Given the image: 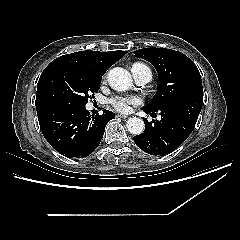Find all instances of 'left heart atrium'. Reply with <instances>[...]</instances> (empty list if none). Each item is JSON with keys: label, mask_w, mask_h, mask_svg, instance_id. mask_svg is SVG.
I'll return each mask as SVG.
<instances>
[{"label": "left heart atrium", "mask_w": 240, "mask_h": 240, "mask_svg": "<svg viewBox=\"0 0 240 240\" xmlns=\"http://www.w3.org/2000/svg\"><path fill=\"white\" fill-rule=\"evenodd\" d=\"M141 98L134 95H115L109 100L114 109L119 112H129L132 106L141 103Z\"/></svg>", "instance_id": "left-heart-atrium-1"}]
</instances>
